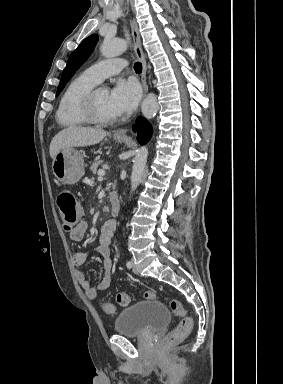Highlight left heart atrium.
Wrapping results in <instances>:
<instances>
[{
	"label": "left heart atrium",
	"mask_w": 283,
	"mask_h": 384,
	"mask_svg": "<svg viewBox=\"0 0 283 384\" xmlns=\"http://www.w3.org/2000/svg\"><path fill=\"white\" fill-rule=\"evenodd\" d=\"M140 97V90L133 81L119 80L108 92V102L116 116L131 113Z\"/></svg>",
	"instance_id": "obj_1"
}]
</instances>
